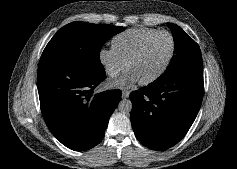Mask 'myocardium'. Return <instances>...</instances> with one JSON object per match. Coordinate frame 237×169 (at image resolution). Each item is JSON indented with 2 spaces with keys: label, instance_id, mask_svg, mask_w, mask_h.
I'll use <instances>...</instances> for the list:
<instances>
[{
  "label": "myocardium",
  "instance_id": "f54148a6",
  "mask_svg": "<svg viewBox=\"0 0 237 169\" xmlns=\"http://www.w3.org/2000/svg\"><path fill=\"white\" fill-rule=\"evenodd\" d=\"M165 34L167 36H169L170 40H171V50H170V54L165 62V64L163 65V67L154 75L150 76L147 79L144 80H139V83L141 85H148L154 81H156L157 79H159L168 69V67L170 66L174 54H175V49H176V44H175V39L173 37V35L166 31V30H161V31H157L156 33L152 34L151 36H149L148 38H146L142 44L138 47V49L129 57V59L126 62V68L129 69L130 64L137 59L142 52L144 51V49L146 48V46L157 36Z\"/></svg>",
  "mask_w": 237,
  "mask_h": 169
}]
</instances>
